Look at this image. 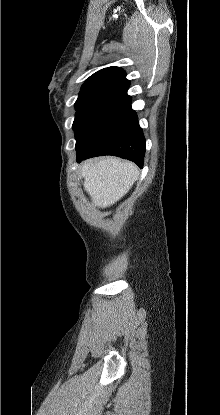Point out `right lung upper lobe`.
Segmentation results:
<instances>
[{"mask_svg":"<svg viewBox=\"0 0 220 415\" xmlns=\"http://www.w3.org/2000/svg\"><path fill=\"white\" fill-rule=\"evenodd\" d=\"M125 76L126 73L122 68L113 66L94 73L85 83L99 80H116L129 85L130 83Z\"/></svg>","mask_w":220,"mask_h":415,"instance_id":"1","label":"right lung upper lobe"}]
</instances>
